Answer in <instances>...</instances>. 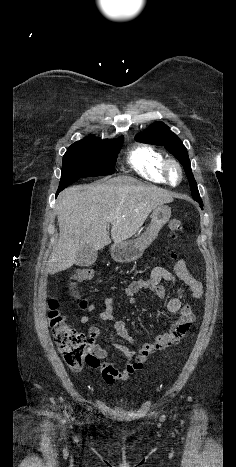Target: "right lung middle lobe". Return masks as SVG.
Wrapping results in <instances>:
<instances>
[{"mask_svg": "<svg viewBox=\"0 0 236 467\" xmlns=\"http://www.w3.org/2000/svg\"><path fill=\"white\" fill-rule=\"evenodd\" d=\"M124 138L101 140L88 137L72 144L63 156L59 188L64 189L81 177L110 175Z\"/></svg>", "mask_w": 236, "mask_h": 467, "instance_id": "dd1d6c3e", "label": "right lung middle lobe"}]
</instances>
